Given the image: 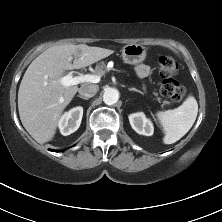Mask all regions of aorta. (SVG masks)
I'll return each instance as SVG.
<instances>
[{"instance_id": "aorta-1", "label": "aorta", "mask_w": 222, "mask_h": 222, "mask_svg": "<svg viewBox=\"0 0 222 222\" xmlns=\"http://www.w3.org/2000/svg\"><path fill=\"white\" fill-rule=\"evenodd\" d=\"M119 99V91L115 88H107L103 94V101L107 105L115 104Z\"/></svg>"}]
</instances>
